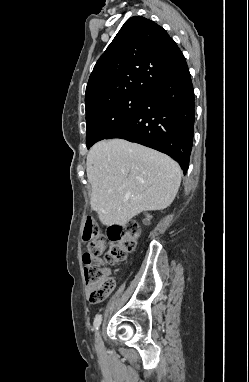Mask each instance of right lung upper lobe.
<instances>
[{"label":"right lung upper lobe","instance_id":"obj_1","mask_svg":"<svg viewBox=\"0 0 249 382\" xmlns=\"http://www.w3.org/2000/svg\"><path fill=\"white\" fill-rule=\"evenodd\" d=\"M185 65L181 50L161 26L131 17L98 59L86 87L85 106L149 93Z\"/></svg>","mask_w":249,"mask_h":382}]
</instances>
